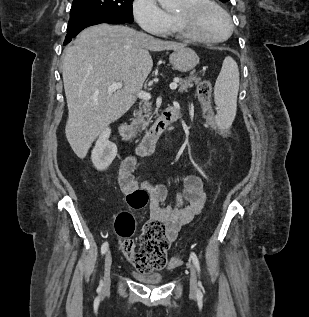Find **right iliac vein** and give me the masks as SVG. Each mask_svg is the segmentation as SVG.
Here are the masks:
<instances>
[{
    "label": "right iliac vein",
    "instance_id": "63e3f726",
    "mask_svg": "<svg viewBox=\"0 0 309 317\" xmlns=\"http://www.w3.org/2000/svg\"><path fill=\"white\" fill-rule=\"evenodd\" d=\"M111 264H112V255H111V252L109 250L106 253L105 260H104V276H103V283H102L103 291H107L110 288V284H111V279H110Z\"/></svg>",
    "mask_w": 309,
    "mask_h": 317
}]
</instances>
